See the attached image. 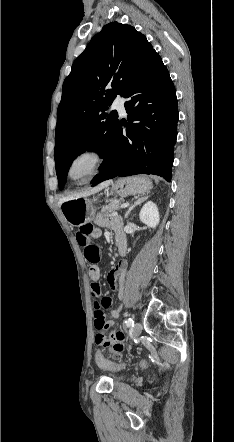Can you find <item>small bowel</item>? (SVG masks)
<instances>
[{"instance_id": "small-bowel-1", "label": "small bowel", "mask_w": 234, "mask_h": 442, "mask_svg": "<svg viewBox=\"0 0 234 442\" xmlns=\"http://www.w3.org/2000/svg\"><path fill=\"white\" fill-rule=\"evenodd\" d=\"M96 223L100 226H108L111 227L116 232V238H121L124 241V249L120 254L124 256L126 254L127 242L125 234L122 231L123 223L119 217H106L104 215H98L96 218ZM101 235V231L99 229H95L93 238H98ZM127 275V263L125 260L119 261L115 267L109 272L107 280L110 287L116 291L118 299H122L124 296V283ZM93 283L91 284V291L93 289ZM99 285V284H98ZM109 305H111L112 300L108 298ZM122 306L117 305L111 311V316L113 318L119 316L121 312ZM93 326L95 328V341L98 345H102L105 348L112 347L114 350L113 358L114 359H122L124 354L122 353V348L126 347V344H123L124 334L119 331L111 330L109 332V337L107 338L104 333L107 330L112 329L113 321L109 320L108 314H95ZM108 328V329H107ZM98 339V340H97ZM128 350H131V347H128ZM103 356V355H102ZM104 358V357H103Z\"/></svg>"}]
</instances>
